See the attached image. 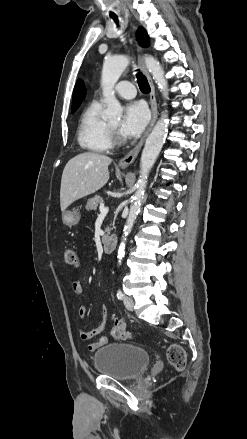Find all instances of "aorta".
<instances>
[{"instance_id":"obj_1","label":"aorta","mask_w":247,"mask_h":439,"mask_svg":"<svg viewBox=\"0 0 247 439\" xmlns=\"http://www.w3.org/2000/svg\"><path fill=\"white\" fill-rule=\"evenodd\" d=\"M128 64L129 59L125 55L107 57L104 61L101 76V86L103 96L107 104L106 117L108 119H120L122 116L123 109L115 97L113 88ZM145 64L148 71L152 74L155 83L158 85V88L163 93V96L168 98V83L165 79V73L159 61L154 59L152 56H146ZM167 127V114L164 113L146 139L140 160V175L136 184L137 190L132 198L129 215L123 230V240L118 249L117 257L119 259V263H121V259L125 256L126 236H128V234L131 232L136 217L140 211L141 203L147 186L149 172L162 149L167 134Z\"/></svg>"}]
</instances>
